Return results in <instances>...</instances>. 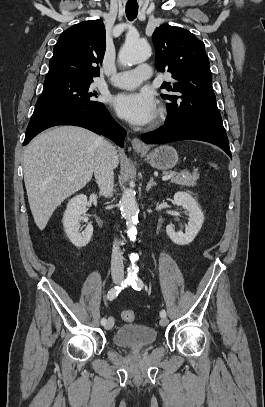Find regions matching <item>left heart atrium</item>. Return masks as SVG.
I'll use <instances>...</instances> for the list:
<instances>
[{
    "label": "left heart atrium",
    "instance_id": "1",
    "mask_svg": "<svg viewBox=\"0 0 265 407\" xmlns=\"http://www.w3.org/2000/svg\"><path fill=\"white\" fill-rule=\"evenodd\" d=\"M115 110L134 125L150 123L157 112L153 95L148 91L123 92L112 98Z\"/></svg>",
    "mask_w": 265,
    "mask_h": 407
}]
</instances>
